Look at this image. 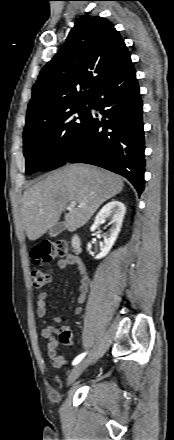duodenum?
<instances>
[{
	"label": "duodenum",
	"mask_w": 174,
	"mask_h": 440,
	"mask_svg": "<svg viewBox=\"0 0 174 440\" xmlns=\"http://www.w3.org/2000/svg\"><path fill=\"white\" fill-rule=\"evenodd\" d=\"M71 246L75 252H80L82 242L79 235L75 234L71 239Z\"/></svg>",
	"instance_id": "410a0bca"
}]
</instances>
